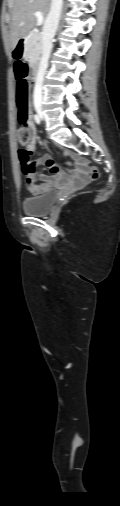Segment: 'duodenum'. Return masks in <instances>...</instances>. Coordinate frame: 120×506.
<instances>
[{
  "label": "duodenum",
  "mask_w": 120,
  "mask_h": 506,
  "mask_svg": "<svg viewBox=\"0 0 120 506\" xmlns=\"http://www.w3.org/2000/svg\"><path fill=\"white\" fill-rule=\"evenodd\" d=\"M28 36L24 35L19 39L18 45L15 47L14 56L16 58H23L25 56V44L27 42ZM39 62H35L32 64V75L33 79L36 80L39 76ZM72 152H68L69 155ZM74 154V153H73Z\"/></svg>",
  "instance_id": "410a0bca"
}]
</instances>
